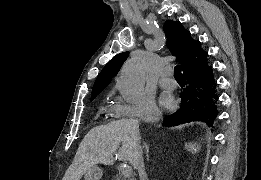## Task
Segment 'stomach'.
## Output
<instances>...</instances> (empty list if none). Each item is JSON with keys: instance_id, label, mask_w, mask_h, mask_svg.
<instances>
[{"instance_id": "obj_1", "label": "stomach", "mask_w": 261, "mask_h": 180, "mask_svg": "<svg viewBox=\"0 0 261 180\" xmlns=\"http://www.w3.org/2000/svg\"><path fill=\"white\" fill-rule=\"evenodd\" d=\"M102 177V170L96 165L90 167L84 174L85 180H100Z\"/></svg>"}]
</instances>
